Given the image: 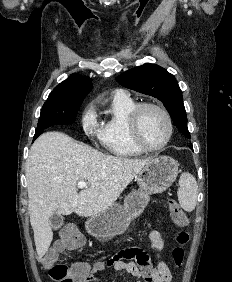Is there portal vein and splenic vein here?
I'll list each match as a JSON object with an SVG mask.
<instances>
[{
    "label": "portal vein and splenic vein",
    "instance_id": "1",
    "mask_svg": "<svg viewBox=\"0 0 232 282\" xmlns=\"http://www.w3.org/2000/svg\"><path fill=\"white\" fill-rule=\"evenodd\" d=\"M87 185H88L87 182H85V181H80V182H78L77 187H78L79 189H84V188L87 187Z\"/></svg>",
    "mask_w": 232,
    "mask_h": 282
}]
</instances>
